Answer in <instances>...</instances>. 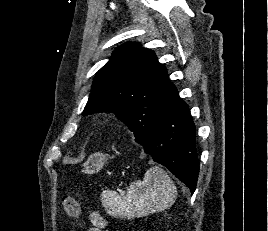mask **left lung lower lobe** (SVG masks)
Here are the masks:
<instances>
[{
  "instance_id": "obj_1",
  "label": "left lung lower lobe",
  "mask_w": 268,
  "mask_h": 231,
  "mask_svg": "<svg viewBox=\"0 0 268 231\" xmlns=\"http://www.w3.org/2000/svg\"><path fill=\"white\" fill-rule=\"evenodd\" d=\"M196 127L188 105L178 100L164 113L152 130L137 142L155 162L167 167L193 194L199 173L195 147Z\"/></svg>"
}]
</instances>
